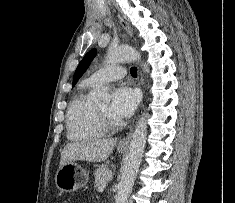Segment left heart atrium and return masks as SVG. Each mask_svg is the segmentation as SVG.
Returning a JSON list of instances; mask_svg holds the SVG:
<instances>
[{"mask_svg": "<svg viewBox=\"0 0 235 203\" xmlns=\"http://www.w3.org/2000/svg\"><path fill=\"white\" fill-rule=\"evenodd\" d=\"M138 99L139 96L135 90L124 85L119 86L112 95L110 116L118 121L128 118L134 112Z\"/></svg>", "mask_w": 235, "mask_h": 203, "instance_id": "39dd6f15", "label": "left heart atrium"}]
</instances>
